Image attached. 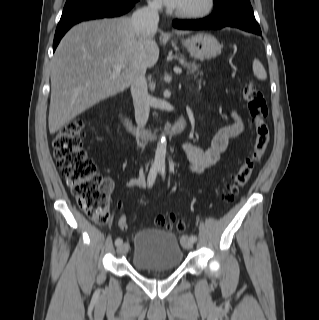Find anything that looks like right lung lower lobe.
Instances as JSON below:
<instances>
[{
    "mask_svg": "<svg viewBox=\"0 0 319 320\" xmlns=\"http://www.w3.org/2000/svg\"><path fill=\"white\" fill-rule=\"evenodd\" d=\"M139 0H99L72 12L62 14L55 32L53 50L55 51L63 35L75 24L104 17L120 16L128 12Z\"/></svg>",
    "mask_w": 319,
    "mask_h": 320,
    "instance_id": "right-lung-lower-lobe-1",
    "label": "right lung lower lobe"
}]
</instances>
